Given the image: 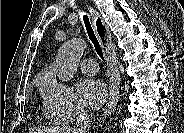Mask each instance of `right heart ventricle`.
I'll return each instance as SVG.
<instances>
[{"label":"right heart ventricle","mask_w":184,"mask_h":133,"mask_svg":"<svg viewBox=\"0 0 184 133\" xmlns=\"http://www.w3.org/2000/svg\"><path fill=\"white\" fill-rule=\"evenodd\" d=\"M48 76H50L48 73H45V74H43L40 78L41 79H43V83H44V81H45V79L48 77Z\"/></svg>","instance_id":"obj_1"}]
</instances>
